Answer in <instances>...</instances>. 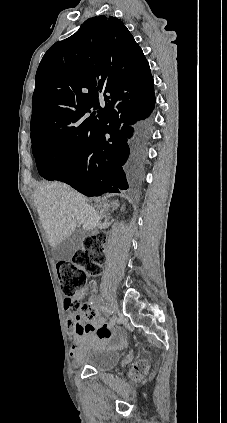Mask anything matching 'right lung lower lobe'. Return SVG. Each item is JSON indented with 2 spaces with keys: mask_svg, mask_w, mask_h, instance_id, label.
<instances>
[{
  "mask_svg": "<svg viewBox=\"0 0 227 423\" xmlns=\"http://www.w3.org/2000/svg\"><path fill=\"white\" fill-rule=\"evenodd\" d=\"M155 105L154 90L145 96H127L112 104L105 124L94 136L93 148L69 176L59 180L86 196H100L128 188L125 170L143 160L147 130L141 120Z\"/></svg>",
  "mask_w": 227,
  "mask_h": 423,
  "instance_id": "98d812e1",
  "label": "right lung lower lobe"
}]
</instances>
